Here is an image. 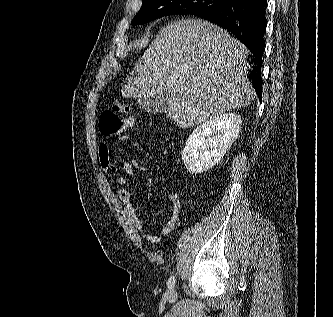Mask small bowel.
I'll return each instance as SVG.
<instances>
[{"mask_svg": "<svg viewBox=\"0 0 333 317\" xmlns=\"http://www.w3.org/2000/svg\"><path fill=\"white\" fill-rule=\"evenodd\" d=\"M131 136L129 134H122L119 136L121 141L130 140ZM98 157L101 168L108 175H116L117 167L112 162L110 157L109 148L105 143H101L98 147ZM124 176H121L117 180L118 186V198L123 205V211L129 222L141 233V236L150 243H158L162 240L164 236L169 234L179 221V215L181 211V200L176 190H171L168 192V197L172 204V214L167 222V224L161 229L158 234L149 233L145 230L143 222L137 215L136 209L133 205L131 194L127 186L128 177L133 174V165L131 162L126 161L122 166Z\"/></svg>", "mask_w": 333, "mask_h": 317, "instance_id": "1", "label": "small bowel"}]
</instances>
